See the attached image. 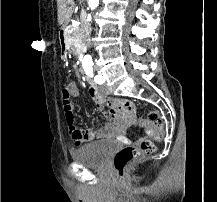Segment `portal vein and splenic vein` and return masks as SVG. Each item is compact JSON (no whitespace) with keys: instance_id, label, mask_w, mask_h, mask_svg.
I'll list each match as a JSON object with an SVG mask.
<instances>
[{"instance_id":"1","label":"portal vein and splenic vein","mask_w":217,"mask_h":202,"mask_svg":"<svg viewBox=\"0 0 217 202\" xmlns=\"http://www.w3.org/2000/svg\"><path fill=\"white\" fill-rule=\"evenodd\" d=\"M74 26H79V22H75Z\"/></svg>"}]
</instances>
